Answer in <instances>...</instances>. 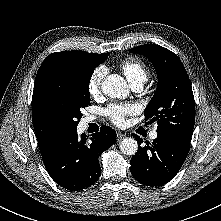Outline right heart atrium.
<instances>
[{
    "mask_svg": "<svg viewBox=\"0 0 221 221\" xmlns=\"http://www.w3.org/2000/svg\"><path fill=\"white\" fill-rule=\"evenodd\" d=\"M105 75L106 69L104 66H98L91 72L87 83V91L91 97L99 95Z\"/></svg>",
    "mask_w": 221,
    "mask_h": 221,
    "instance_id": "1",
    "label": "right heart atrium"
}]
</instances>
